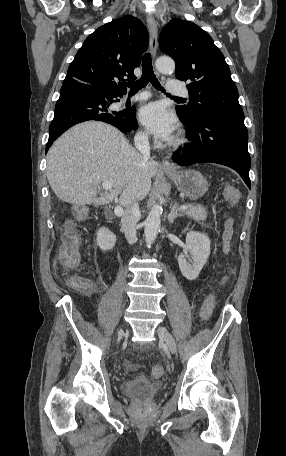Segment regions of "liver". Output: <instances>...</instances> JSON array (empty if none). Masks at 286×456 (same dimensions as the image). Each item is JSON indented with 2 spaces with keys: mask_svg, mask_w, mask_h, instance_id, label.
Instances as JSON below:
<instances>
[{
  "mask_svg": "<svg viewBox=\"0 0 286 456\" xmlns=\"http://www.w3.org/2000/svg\"><path fill=\"white\" fill-rule=\"evenodd\" d=\"M158 163L145 161L115 127L102 122L78 124L48 151L47 179L64 202L95 206L112 202L120 195L121 206L145 199ZM113 189L97 197L102 182Z\"/></svg>",
  "mask_w": 286,
  "mask_h": 456,
  "instance_id": "1",
  "label": "liver"
}]
</instances>
